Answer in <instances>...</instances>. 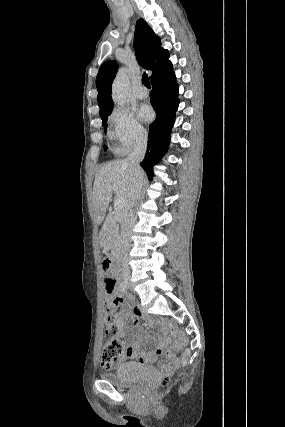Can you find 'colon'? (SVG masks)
I'll list each match as a JSON object with an SVG mask.
<instances>
[{
	"label": "colon",
	"instance_id": "1",
	"mask_svg": "<svg viewBox=\"0 0 285 427\" xmlns=\"http://www.w3.org/2000/svg\"><path fill=\"white\" fill-rule=\"evenodd\" d=\"M101 268L104 276V285L106 290V316H105V326L107 333L106 343L101 351L100 361L104 368L111 369L119 361L121 357L131 352V348L125 342L119 340L115 336L116 331V322L117 314L123 304L120 296L117 293V281L112 275V262L108 258H104L101 262ZM178 350H163L157 349L156 353L158 355H164L168 358L174 355V352ZM187 352H183L181 356L178 357V364L183 365L186 361ZM163 368L165 370V376L163 377L160 386L162 388H167L170 381V364L168 361L163 363Z\"/></svg>",
	"mask_w": 285,
	"mask_h": 427
}]
</instances>
